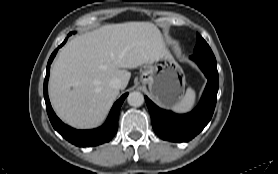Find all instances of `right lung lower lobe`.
Instances as JSON below:
<instances>
[{
    "instance_id": "right-lung-lower-lobe-1",
    "label": "right lung lower lobe",
    "mask_w": 278,
    "mask_h": 174,
    "mask_svg": "<svg viewBox=\"0 0 278 174\" xmlns=\"http://www.w3.org/2000/svg\"><path fill=\"white\" fill-rule=\"evenodd\" d=\"M71 35V34H70ZM67 39L52 53L49 58L46 77L44 80V98L46 103L47 113L53 128L59 132L66 140L72 144L80 147L99 145L104 142H108L117 132L118 117L121 105L128 95L124 94L117 102L113 105L106 122L99 128L93 130H76L65 125L54 113L48 97V79L50 73V64L53 61L58 49L65 44Z\"/></svg>"
}]
</instances>
